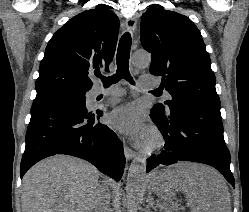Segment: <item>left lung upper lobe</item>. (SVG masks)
<instances>
[{
	"instance_id": "obj_1",
	"label": "left lung upper lobe",
	"mask_w": 249,
	"mask_h": 212,
	"mask_svg": "<svg viewBox=\"0 0 249 212\" xmlns=\"http://www.w3.org/2000/svg\"><path fill=\"white\" fill-rule=\"evenodd\" d=\"M141 42L152 56L150 73L162 76V89L172 97L166 108L159 103L157 107L167 111L182 102L221 107L205 43L188 17L149 7L141 19Z\"/></svg>"
}]
</instances>
